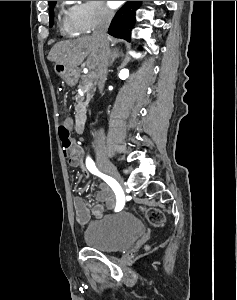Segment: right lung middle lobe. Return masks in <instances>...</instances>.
<instances>
[{"label":"right lung middle lobe","mask_w":237,"mask_h":300,"mask_svg":"<svg viewBox=\"0 0 237 300\" xmlns=\"http://www.w3.org/2000/svg\"><path fill=\"white\" fill-rule=\"evenodd\" d=\"M57 1H53L52 3L49 4V15H50V27L53 26V17H54V13H53V9H54V6L56 4Z\"/></svg>","instance_id":"obj_1"}]
</instances>
